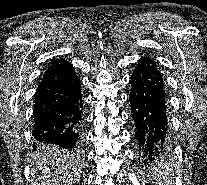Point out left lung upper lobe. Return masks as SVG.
Here are the masks:
<instances>
[{"instance_id":"5c2ea615","label":"left lung upper lobe","mask_w":207,"mask_h":185,"mask_svg":"<svg viewBox=\"0 0 207 185\" xmlns=\"http://www.w3.org/2000/svg\"><path fill=\"white\" fill-rule=\"evenodd\" d=\"M139 63L156 67V63L153 60L149 59V58L140 59Z\"/></svg>"}]
</instances>
